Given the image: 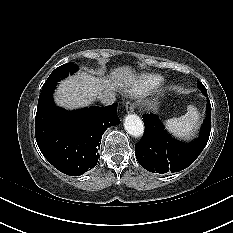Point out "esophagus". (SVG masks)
<instances>
[{"instance_id": "obj_1", "label": "esophagus", "mask_w": 233, "mask_h": 233, "mask_svg": "<svg viewBox=\"0 0 233 233\" xmlns=\"http://www.w3.org/2000/svg\"><path fill=\"white\" fill-rule=\"evenodd\" d=\"M125 108H126V111L128 112V113H132L133 112V104L131 103V102H126V104H125Z\"/></svg>"}]
</instances>
